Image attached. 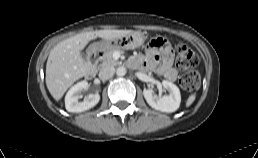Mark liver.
Returning <instances> with one entry per match:
<instances>
[{
	"mask_svg": "<svg viewBox=\"0 0 258 158\" xmlns=\"http://www.w3.org/2000/svg\"><path fill=\"white\" fill-rule=\"evenodd\" d=\"M130 30H98L79 33L59 42L50 52L46 64V85L52 97L59 101L66 90L90 72L80 51L89 41L99 37L112 40L126 35Z\"/></svg>",
	"mask_w": 258,
	"mask_h": 158,
	"instance_id": "obj_1",
	"label": "liver"
}]
</instances>
